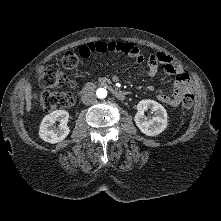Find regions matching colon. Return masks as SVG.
I'll list each match as a JSON object with an SVG mask.
<instances>
[{
	"mask_svg": "<svg viewBox=\"0 0 221 221\" xmlns=\"http://www.w3.org/2000/svg\"><path fill=\"white\" fill-rule=\"evenodd\" d=\"M62 66L65 69H73L79 63V55L74 52H67L62 58ZM40 84L43 88L51 89L61 86L73 87L74 82L68 79L65 74L56 66L45 67L40 75ZM34 98L39 106L45 111L71 107L75 102V95L70 91H43L35 93ZM193 99L187 97L182 101L181 108L184 112L191 109Z\"/></svg>",
	"mask_w": 221,
	"mask_h": 221,
	"instance_id": "obj_1",
	"label": "colon"
}]
</instances>
